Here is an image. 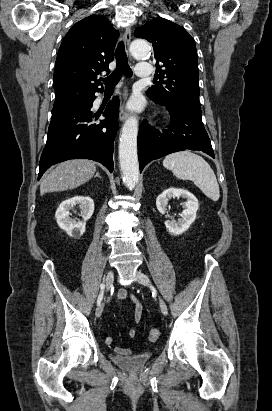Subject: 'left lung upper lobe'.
<instances>
[{
    "instance_id": "obj_1",
    "label": "left lung upper lobe",
    "mask_w": 272,
    "mask_h": 411,
    "mask_svg": "<svg viewBox=\"0 0 272 411\" xmlns=\"http://www.w3.org/2000/svg\"><path fill=\"white\" fill-rule=\"evenodd\" d=\"M135 36L152 44L156 59L160 82L147 90L148 97L178 113L201 116L194 39L183 27L161 17L137 28Z\"/></svg>"
}]
</instances>
